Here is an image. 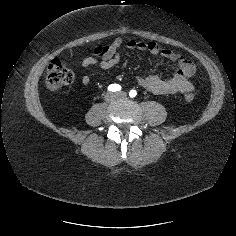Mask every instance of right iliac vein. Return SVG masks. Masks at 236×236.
Returning <instances> with one entry per match:
<instances>
[{
    "label": "right iliac vein",
    "mask_w": 236,
    "mask_h": 236,
    "mask_svg": "<svg viewBox=\"0 0 236 236\" xmlns=\"http://www.w3.org/2000/svg\"><path fill=\"white\" fill-rule=\"evenodd\" d=\"M117 95L115 93L109 92L105 95V101L106 102H113L114 100H116Z\"/></svg>",
    "instance_id": "obj_1"
}]
</instances>
